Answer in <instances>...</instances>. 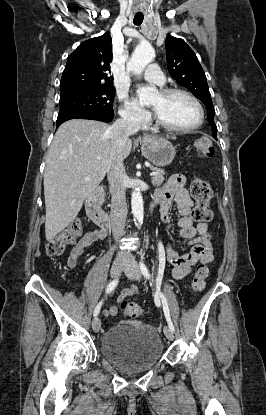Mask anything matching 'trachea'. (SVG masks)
Listing matches in <instances>:
<instances>
[{"instance_id": "obj_1", "label": "trachea", "mask_w": 266, "mask_h": 415, "mask_svg": "<svg viewBox=\"0 0 266 415\" xmlns=\"http://www.w3.org/2000/svg\"><path fill=\"white\" fill-rule=\"evenodd\" d=\"M143 22V15H135L133 23L135 25H140Z\"/></svg>"}]
</instances>
